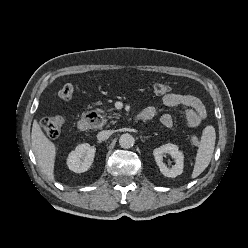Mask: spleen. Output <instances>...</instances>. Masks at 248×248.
Wrapping results in <instances>:
<instances>
[{
    "label": "spleen",
    "instance_id": "3e777b00",
    "mask_svg": "<svg viewBox=\"0 0 248 248\" xmlns=\"http://www.w3.org/2000/svg\"><path fill=\"white\" fill-rule=\"evenodd\" d=\"M215 139V129L212 126L206 127L196 154L192 178L198 177L209 165L214 152Z\"/></svg>",
    "mask_w": 248,
    "mask_h": 248
}]
</instances>
